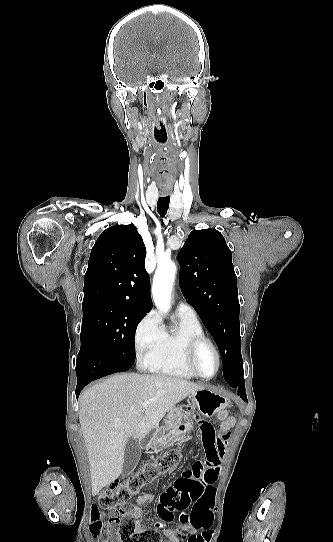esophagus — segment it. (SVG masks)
<instances>
[{"label": "esophagus", "mask_w": 333, "mask_h": 542, "mask_svg": "<svg viewBox=\"0 0 333 542\" xmlns=\"http://www.w3.org/2000/svg\"><path fill=\"white\" fill-rule=\"evenodd\" d=\"M163 193H164V195H166L168 192H163Z\"/></svg>", "instance_id": "1"}]
</instances>
